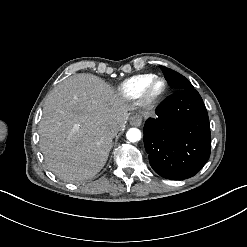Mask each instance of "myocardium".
<instances>
[{"label":"myocardium","instance_id":"f54148a6","mask_svg":"<svg viewBox=\"0 0 247 247\" xmlns=\"http://www.w3.org/2000/svg\"><path fill=\"white\" fill-rule=\"evenodd\" d=\"M158 82H161L163 84V88L157 93H152L153 87ZM166 92H167L166 80L162 77H153L142 86L138 104L141 107H149L159 102L164 97Z\"/></svg>","mask_w":247,"mask_h":247}]
</instances>
